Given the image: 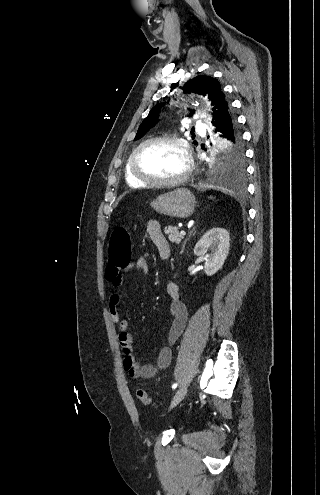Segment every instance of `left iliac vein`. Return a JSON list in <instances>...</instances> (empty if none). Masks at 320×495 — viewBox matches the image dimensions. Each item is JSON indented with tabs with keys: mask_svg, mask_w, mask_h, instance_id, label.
I'll list each match as a JSON object with an SVG mask.
<instances>
[{
	"mask_svg": "<svg viewBox=\"0 0 320 495\" xmlns=\"http://www.w3.org/2000/svg\"><path fill=\"white\" fill-rule=\"evenodd\" d=\"M187 391H188V387L186 385L182 386L177 390L171 401L170 409L175 407L185 397Z\"/></svg>",
	"mask_w": 320,
	"mask_h": 495,
	"instance_id": "1",
	"label": "left iliac vein"
}]
</instances>
